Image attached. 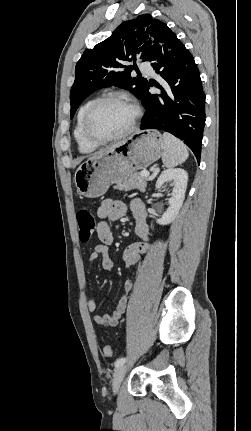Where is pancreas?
Here are the masks:
<instances>
[{
	"instance_id": "cf45deb5",
	"label": "pancreas",
	"mask_w": 251,
	"mask_h": 431,
	"mask_svg": "<svg viewBox=\"0 0 251 431\" xmlns=\"http://www.w3.org/2000/svg\"><path fill=\"white\" fill-rule=\"evenodd\" d=\"M148 178L142 176L139 173L132 174L127 180L117 183L114 186L115 189L129 191L132 189H138L141 192H145Z\"/></svg>"
}]
</instances>
